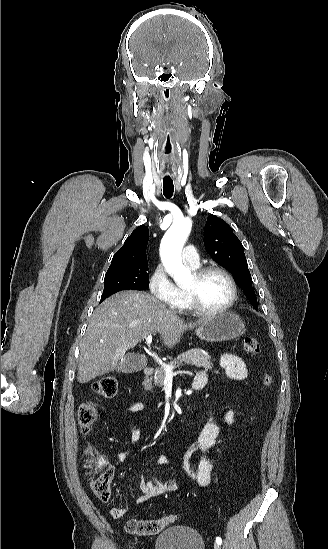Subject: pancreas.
Masks as SVG:
<instances>
[{
	"mask_svg": "<svg viewBox=\"0 0 328 549\" xmlns=\"http://www.w3.org/2000/svg\"><path fill=\"white\" fill-rule=\"evenodd\" d=\"M211 357H207L201 351H188V353H181L178 355L177 359L170 361V367H175V365H180V363H186V365H195V367H203V369H212L213 363L210 361ZM165 379V371L163 367H158L155 369V377H146L142 385H144L145 391H150L153 385H158V387H163ZM154 381V383H152Z\"/></svg>",
	"mask_w": 328,
	"mask_h": 549,
	"instance_id": "pancreas-1",
	"label": "pancreas"
}]
</instances>
